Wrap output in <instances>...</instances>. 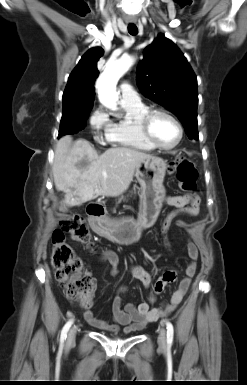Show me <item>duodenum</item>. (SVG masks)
<instances>
[{"label": "duodenum", "mask_w": 247, "mask_h": 385, "mask_svg": "<svg viewBox=\"0 0 247 385\" xmlns=\"http://www.w3.org/2000/svg\"><path fill=\"white\" fill-rule=\"evenodd\" d=\"M87 213L92 218L91 227L93 228V230L101 233V226L104 220L103 216L105 214V210L103 206L100 203L91 202L88 205Z\"/></svg>", "instance_id": "410a0bca"}]
</instances>
